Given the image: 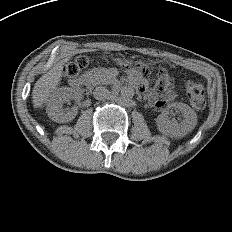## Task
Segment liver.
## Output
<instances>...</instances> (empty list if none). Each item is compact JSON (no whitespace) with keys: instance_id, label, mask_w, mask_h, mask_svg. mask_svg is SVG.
<instances>
[{"instance_id":"obj_1","label":"liver","mask_w":232,"mask_h":232,"mask_svg":"<svg viewBox=\"0 0 232 232\" xmlns=\"http://www.w3.org/2000/svg\"><path fill=\"white\" fill-rule=\"evenodd\" d=\"M66 60L56 63L46 74L35 83L32 91V103L34 108H41L47 102L50 94L56 90L63 73V65Z\"/></svg>"}]
</instances>
